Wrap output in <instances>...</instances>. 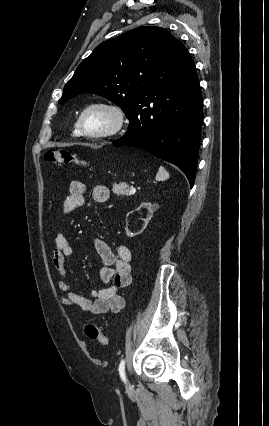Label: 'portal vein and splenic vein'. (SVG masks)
Returning a JSON list of instances; mask_svg holds the SVG:
<instances>
[{"instance_id":"18ae733b","label":"portal vein and splenic vein","mask_w":269,"mask_h":426,"mask_svg":"<svg viewBox=\"0 0 269 426\" xmlns=\"http://www.w3.org/2000/svg\"><path fill=\"white\" fill-rule=\"evenodd\" d=\"M136 192V189H134V188H131L130 190H129V194H134Z\"/></svg>"}]
</instances>
